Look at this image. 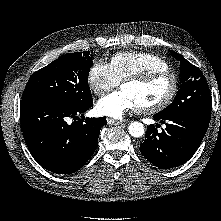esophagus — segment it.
Segmentation results:
<instances>
[{
	"instance_id": "1",
	"label": "esophagus",
	"mask_w": 221,
	"mask_h": 221,
	"mask_svg": "<svg viewBox=\"0 0 221 221\" xmlns=\"http://www.w3.org/2000/svg\"><path fill=\"white\" fill-rule=\"evenodd\" d=\"M124 121H122V120H114V119H112V118H107V123L109 124V125H120V124H122Z\"/></svg>"
}]
</instances>
